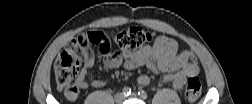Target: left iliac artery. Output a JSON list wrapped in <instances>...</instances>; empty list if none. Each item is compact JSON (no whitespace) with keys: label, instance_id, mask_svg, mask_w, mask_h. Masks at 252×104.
Masks as SVG:
<instances>
[{"label":"left iliac artery","instance_id":"44dca946","mask_svg":"<svg viewBox=\"0 0 252 104\" xmlns=\"http://www.w3.org/2000/svg\"><path fill=\"white\" fill-rule=\"evenodd\" d=\"M138 96L142 99H146L147 98V93L143 90L138 92Z\"/></svg>","mask_w":252,"mask_h":104}]
</instances>
